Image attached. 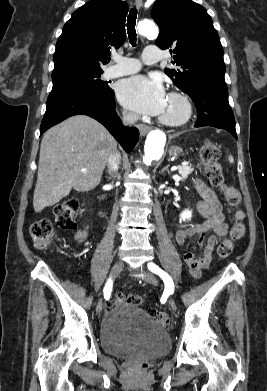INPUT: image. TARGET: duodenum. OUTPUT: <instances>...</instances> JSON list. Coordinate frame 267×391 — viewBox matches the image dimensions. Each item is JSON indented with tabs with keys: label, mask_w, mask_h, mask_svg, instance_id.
<instances>
[{
	"label": "duodenum",
	"mask_w": 267,
	"mask_h": 391,
	"mask_svg": "<svg viewBox=\"0 0 267 391\" xmlns=\"http://www.w3.org/2000/svg\"><path fill=\"white\" fill-rule=\"evenodd\" d=\"M102 199V197H98L97 201H100Z\"/></svg>",
	"instance_id": "1"
}]
</instances>
